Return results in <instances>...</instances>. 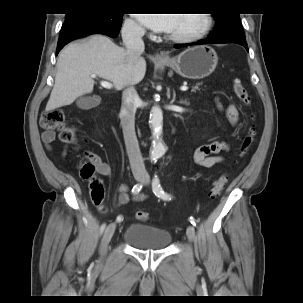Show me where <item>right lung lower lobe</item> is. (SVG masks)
<instances>
[{"label":"right lung lower lobe","instance_id":"right-lung-lower-lobe-1","mask_svg":"<svg viewBox=\"0 0 303 303\" xmlns=\"http://www.w3.org/2000/svg\"><path fill=\"white\" fill-rule=\"evenodd\" d=\"M122 25V18L88 13L69 14L60 32L56 55L70 41L90 34H104L116 37Z\"/></svg>","mask_w":303,"mask_h":303}]
</instances>
